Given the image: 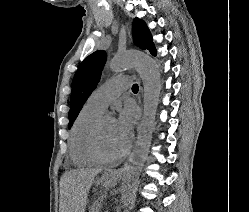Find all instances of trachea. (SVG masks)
<instances>
[{
    "label": "trachea",
    "mask_w": 249,
    "mask_h": 212,
    "mask_svg": "<svg viewBox=\"0 0 249 212\" xmlns=\"http://www.w3.org/2000/svg\"><path fill=\"white\" fill-rule=\"evenodd\" d=\"M132 90H138V85H137V83H135V84L132 86Z\"/></svg>",
    "instance_id": "trachea-1"
}]
</instances>
